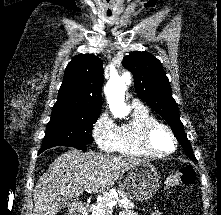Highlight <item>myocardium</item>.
<instances>
[{"label":"myocardium","mask_w":221,"mask_h":215,"mask_svg":"<svg viewBox=\"0 0 221 215\" xmlns=\"http://www.w3.org/2000/svg\"><path fill=\"white\" fill-rule=\"evenodd\" d=\"M159 130H165L171 137L172 148L170 150H159L154 146L153 137L155 133ZM177 144L178 141L172 129L168 125L161 122H156L148 125L144 128L141 134L142 147L154 156H167L172 154L176 150Z\"/></svg>","instance_id":"f54148a6"}]
</instances>
